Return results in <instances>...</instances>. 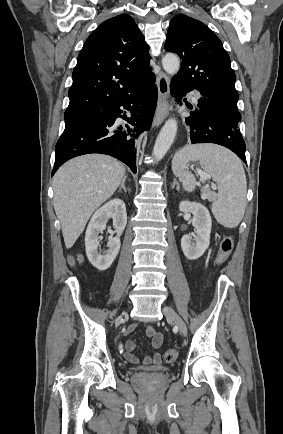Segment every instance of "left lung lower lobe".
<instances>
[{"mask_svg": "<svg viewBox=\"0 0 283 434\" xmlns=\"http://www.w3.org/2000/svg\"><path fill=\"white\" fill-rule=\"evenodd\" d=\"M170 90L177 100L182 99L191 88L171 80ZM197 108L186 117L191 143H215L233 151L246 162L245 142L238 128L241 114L238 109L200 97ZM192 109V107H189Z\"/></svg>", "mask_w": 283, "mask_h": 434, "instance_id": "1", "label": "left lung lower lobe"}]
</instances>
